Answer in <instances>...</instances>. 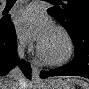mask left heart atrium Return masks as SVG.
<instances>
[{"label": "left heart atrium", "mask_w": 89, "mask_h": 89, "mask_svg": "<svg viewBox=\"0 0 89 89\" xmlns=\"http://www.w3.org/2000/svg\"><path fill=\"white\" fill-rule=\"evenodd\" d=\"M15 27L21 38L42 44L54 30L51 20L36 5L21 9L15 18Z\"/></svg>", "instance_id": "1"}]
</instances>
